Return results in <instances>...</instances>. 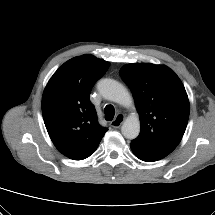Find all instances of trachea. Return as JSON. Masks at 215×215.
Listing matches in <instances>:
<instances>
[{
    "instance_id": "obj_1",
    "label": "trachea",
    "mask_w": 215,
    "mask_h": 215,
    "mask_svg": "<svg viewBox=\"0 0 215 215\" xmlns=\"http://www.w3.org/2000/svg\"><path fill=\"white\" fill-rule=\"evenodd\" d=\"M104 112L107 120L109 121L113 120L115 115V109L112 105H107L104 109Z\"/></svg>"
}]
</instances>
